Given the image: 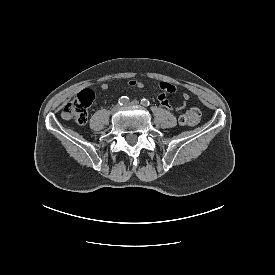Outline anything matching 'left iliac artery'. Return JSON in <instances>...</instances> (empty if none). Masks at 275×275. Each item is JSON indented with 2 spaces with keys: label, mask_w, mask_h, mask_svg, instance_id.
Masks as SVG:
<instances>
[{
  "label": "left iliac artery",
  "mask_w": 275,
  "mask_h": 275,
  "mask_svg": "<svg viewBox=\"0 0 275 275\" xmlns=\"http://www.w3.org/2000/svg\"><path fill=\"white\" fill-rule=\"evenodd\" d=\"M141 104L143 105V106H149V101L147 100V99H145V98H143L142 100H141Z\"/></svg>",
  "instance_id": "left-iliac-artery-1"
}]
</instances>
